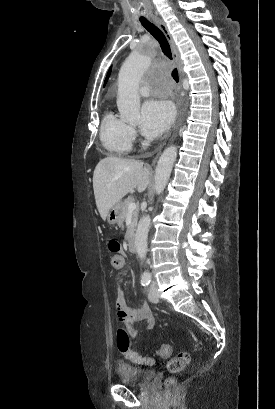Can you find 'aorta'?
I'll return each mask as SVG.
<instances>
[{
	"label": "aorta",
	"instance_id": "aorta-1",
	"mask_svg": "<svg viewBox=\"0 0 275 409\" xmlns=\"http://www.w3.org/2000/svg\"><path fill=\"white\" fill-rule=\"evenodd\" d=\"M155 51H130L124 60L118 74L117 106L121 120L137 124L140 120L139 82L145 70L144 60H155ZM176 146H167L163 150L155 170V192L160 194L170 178L173 164L176 160ZM151 219L149 215L142 217L135 233V249L141 261H145L147 253V237ZM142 281H151L150 273H143Z\"/></svg>",
	"mask_w": 275,
	"mask_h": 409
}]
</instances>
